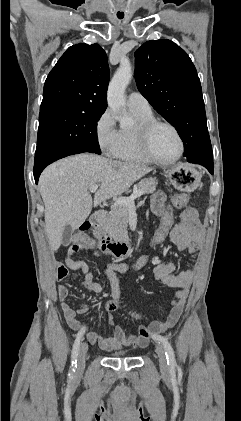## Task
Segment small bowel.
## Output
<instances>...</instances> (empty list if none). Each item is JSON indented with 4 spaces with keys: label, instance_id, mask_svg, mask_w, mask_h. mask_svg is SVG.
Here are the masks:
<instances>
[{
    "label": "small bowel",
    "instance_id": "obj_1",
    "mask_svg": "<svg viewBox=\"0 0 241 421\" xmlns=\"http://www.w3.org/2000/svg\"><path fill=\"white\" fill-rule=\"evenodd\" d=\"M166 195L163 192H157L151 199L153 212L161 217L165 214L167 208L165 205ZM169 237L178 250H188L195 253L202 241V229L197 210L193 207L184 208L179 215V220L175 222L170 231ZM89 248L82 246L81 249ZM74 252L71 246L65 254V263L72 270H79L83 274V285L92 293H100L102 287L93 279V274L89 266L84 261L74 260ZM148 261L147 255L140 256L137 261L128 265L126 263H110L105 269V276L110 282L111 299L105 304V311L109 318V324L113 329L110 336L103 337L95 331L87 332L89 341L98 344L101 349L111 351L121 347L143 348L147 346L150 339L155 338L160 333L172 327L183 312L189 289L192 284L193 272L191 270L175 273V265L172 262H155L154 275L156 279L165 285L176 288L175 298L171 301V309L164 320L154 321L149 326L140 325L137 333L128 332L123 326L115 324L112 314L118 309H124L132 318L141 320L142 316L134 311L125 309L120 301L121 289L117 272L126 274L140 269ZM69 290L66 284H61L58 288V298L65 319L71 329L80 331L85 328L78 319V315L89 311V306L84 304L78 310L73 309L66 302Z\"/></svg>",
    "mask_w": 241,
    "mask_h": 421
}]
</instances>
